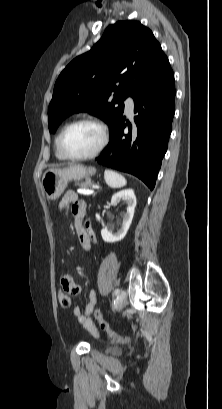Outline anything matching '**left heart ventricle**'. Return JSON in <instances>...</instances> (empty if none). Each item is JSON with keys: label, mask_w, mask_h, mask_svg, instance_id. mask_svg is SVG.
Here are the masks:
<instances>
[{"label": "left heart ventricle", "mask_w": 222, "mask_h": 409, "mask_svg": "<svg viewBox=\"0 0 222 409\" xmlns=\"http://www.w3.org/2000/svg\"><path fill=\"white\" fill-rule=\"evenodd\" d=\"M102 140L101 130L93 124H81L73 127L65 137V149L73 156L90 154Z\"/></svg>", "instance_id": "1"}]
</instances>
